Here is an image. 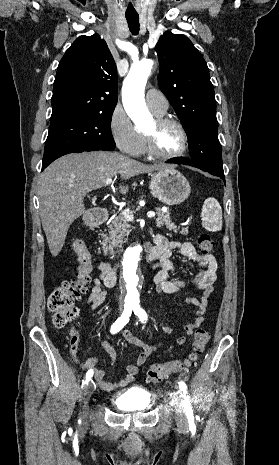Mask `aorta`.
Returning a JSON list of instances; mask_svg holds the SVG:
<instances>
[{
	"mask_svg": "<svg viewBox=\"0 0 279 465\" xmlns=\"http://www.w3.org/2000/svg\"><path fill=\"white\" fill-rule=\"evenodd\" d=\"M153 61L144 60L134 64L122 86V101L125 111L137 128H141L150 118L144 100V90L151 73ZM142 247L135 244L129 247L123 257L121 280L126 288V298L130 302H137L141 278L139 275V261Z\"/></svg>",
	"mask_w": 279,
	"mask_h": 465,
	"instance_id": "obj_1",
	"label": "aorta"
}]
</instances>
